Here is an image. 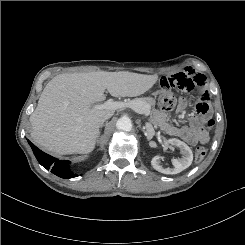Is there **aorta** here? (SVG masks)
<instances>
[{"label":"aorta","mask_w":245,"mask_h":245,"mask_svg":"<svg viewBox=\"0 0 245 245\" xmlns=\"http://www.w3.org/2000/svg\"><path fill=\"white\" fill-rule=\"evenodd\" d=\"M116 128L121 131H130L132 129V122L128 117H121L116 122Z\"/></svg>","instance_id":"aorta-1"}]
</instances>
